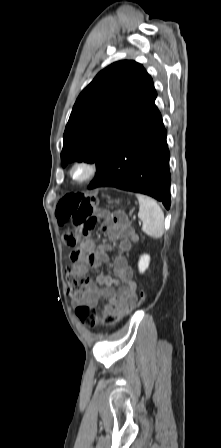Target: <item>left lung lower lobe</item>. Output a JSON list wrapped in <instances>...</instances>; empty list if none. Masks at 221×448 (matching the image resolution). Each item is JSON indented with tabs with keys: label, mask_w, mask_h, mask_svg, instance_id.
Here are the masks:
<instances>
[{
	"label": "left lung lower lobe",
	"mask_w": 221,
	"mask_h": 448,
	"mask_svg": "<svg viewBox=\"0 0 221 448\" xmlns=\"http://www.w3.org/2000/svg\"><path fill=\"white\" fill-rule=\"evenodd\" d=\"M161 114L154 105L144 120L97 169L89 189L116 187L149 195L170 208V153Z\"/></svg>",
	"instance_id": "1"
}]
</instances>
